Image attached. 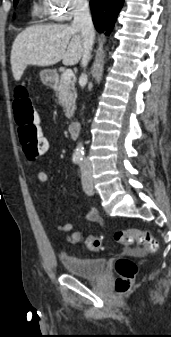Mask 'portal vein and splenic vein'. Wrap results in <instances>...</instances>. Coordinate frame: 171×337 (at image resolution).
I'll return each instance as SVG.
<instances>
[{
  "instance_id": "1",
  "label": "portal vein and splenic vein",
  "mask_w": 171,
  "mask_h": 337,
  "mask_svg": "<svg viewBox=\"0 0 171 337\" xmlns=\"http://www.w3.org/2000/svg\"><path fill=\"white\" fill-rule=\"evenodd\" d=\"M73 75V71L71 69H67L62 76L65 80H71Z\"/></svg>"
}]
</instances>
